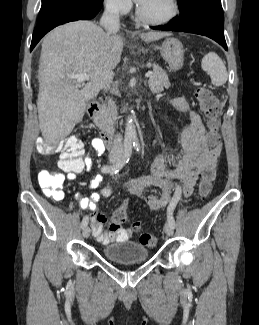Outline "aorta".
Listing matches in <instances>:
<instances>
[{"mask_svg": "<svg viewBox=\"0 0 259 325\" xmlns=\"http://www.w3.org/2000/svg\"><path fill=\"white\" fill-rule=\"evenodd\" d=\"M125 138L132 141L136 145L138 144L133 114L127 117L125 126Z\"/></svg>", "mask_w": 259, "mask_h": 325, "instance_id": "762f6f07", "label": "aorta"}]
</instances>
